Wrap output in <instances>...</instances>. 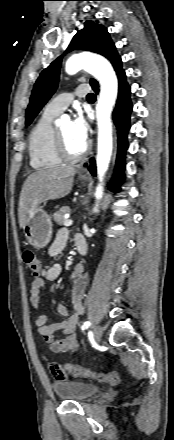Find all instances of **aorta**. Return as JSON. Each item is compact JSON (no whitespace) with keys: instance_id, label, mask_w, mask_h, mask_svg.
Instances as JSON below:
<instances>
[{"instance_id":"aorta-1","label":"aorta","mask_w":174,"mask_h":440,"mask_svg":"<svg viewBox=\"0 0 174 440\" xmlns=\"http://www.w3.org/2000/svg\"><path fill=\"white\" fill-rule=\"evenodd\" d=\"M85 69L94 75L101 84V93L96 105V116L98 124V146H97V177L99 180L96 187L95 197L101 200L103 197V182L108 170L112 155V122L110 115L117 99L118 80L110 62L96 54L81 53L70 57L65 65V71L69 75L76 74ZM98 211V204L94 212Z\"/></svg>"}]
</instances>
